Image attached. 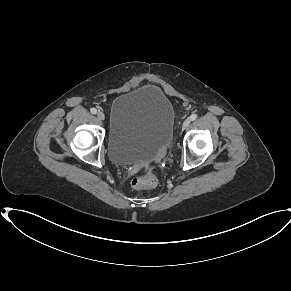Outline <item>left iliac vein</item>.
Listing matches in <instances>:
<instances>
[{"mask_svg": "<svg viewBox=\"0 0 291 291\" xmlns=\"http://www.w3.org/2000/svg\"><path fill=\"white\" fill-rule=\"evenodd\" d=\"M191 120L189 118H187L184 122H183V129H186L189 125H190Z\"/></svg>", "mask_w": 291, "mask_h": 291, "instance_id": "left-iliac-vein-1", "label": "left iliac vein"}]
</instances>
